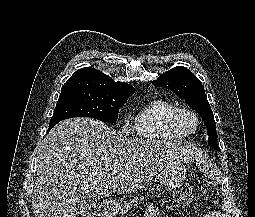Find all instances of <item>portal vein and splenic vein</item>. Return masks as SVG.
Wrapping results in <instances>:
<instances>
[{
	"instance_id": "1",
	"label": "portal vein and splenic vein",
	"mask_w": 255,
	"mask_h": 217,
	"mask_svg": "<svg viewBox=\"0 0 255 217\" xmlns=\"http://www.w3.org/2000/svg\"><path fill=\"white\" fill-rule=\"evenodd\" d=\"M118 171L117 170H113V173H117Z\"/></svg>"
}]
</instances>
